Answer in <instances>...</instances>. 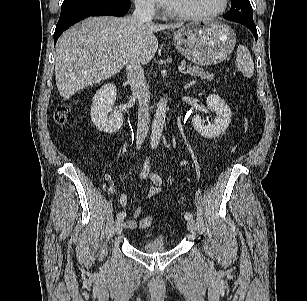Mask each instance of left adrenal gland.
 <instances>
[{
  "label": "left adrenal gland",
  "instance_id": "left-adrenal-gland-1",
  "mask_svg": "<svg viewBox=\"0 0 307 301\" xmlns=\"http://www.w3.org/2000/svg\"><path fill=\"white\" fill-rule=\"evenodd\" d=\"M192 83H194V82L189 83L186 87H189L190 85H192Z\"/></svg>",
  "mask_w": 307,
  "mask_h": 301
}]
</instances>
